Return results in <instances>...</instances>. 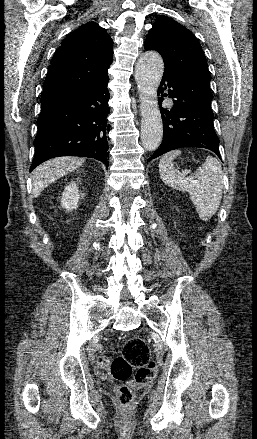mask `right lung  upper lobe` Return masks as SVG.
<instances>
[{"mask_svg":"<svg viewBox=\"0 0 257 439\" xmlns=\"http://www.w3.org/2000/svg\"><path fill=\"white\" fill-rule=\"evenodd\" d=\"M113 41L95 22L83 24L68 35L51 59L41 102L94 84L107 75Z\"/></svg>","mask_w":257,"mask_h":439,"instance_id":"right-lung-upper-lobe-1","label":"right lung upper lobe"}]
</instances>
